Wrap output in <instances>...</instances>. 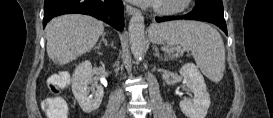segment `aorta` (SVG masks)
Returning <instances> with one entry per match:
<instances>
[{
  "instance_id": "1",
  "label": "aorta",
  "mask_w": 273,
  "mask_h": 118,
  "mask_svg": "<svg viewBox=\"0 0 273 118\" xmlns=\"http://www.w3.org/2000/svg\"><path fill=\"white\" fill-rule=\"evenodd\" d=\"M144 17L136 12L129 22L130 47L134 58L141 61L146 51Z\"/></svg>"
}]
</instances>
